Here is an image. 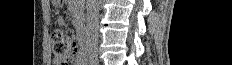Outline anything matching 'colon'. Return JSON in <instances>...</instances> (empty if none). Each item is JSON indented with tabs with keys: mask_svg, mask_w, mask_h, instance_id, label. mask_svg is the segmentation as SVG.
Here are the masks:
<instances>
[{
	"mask_svg": "<svg viewBox=\"0 0 232 65\" xmlns=\"http://www.w3.org/2000/svg\"><path fill=\"white\" fill-rule=\"evenodd\" d=\"M77 51L75 42L61 30L52 34V53L54 61L59 65H67Z\"/></svg>",
	"mask_w": 232,
	"mask_h": 65,
	"instance_id": "1",
	"label": "colon"
}]
</instances>
